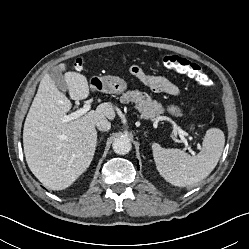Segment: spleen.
I'll return each instance as SVG.
<instances>
[{
  "label": "spleen",
  "instance_id": "3e777b00",
  "mask_svg": "<svg viewBox=\"0 0 249 249\" xmlns=\"http://www.w3.org/2000/svg\"><path fill=\"white\" fill-rule=\"evenodd\" d=\"M225 144V136L219 128L206 131L202 149L197 155H189L180 149L162 148L152 144L153 157L160 175L175 186H187L206 178L217 165Z\"/></svg>",
  "mask_w": 249,
  "mask_h": 249
}]
</instances>
